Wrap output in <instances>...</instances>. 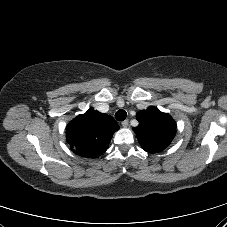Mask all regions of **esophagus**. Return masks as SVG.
I'll use <instances>...</instances> for the list:
<instances>
[{
	"label": "esophagus",
	"mask_w": 227,
	"mask_h": 227,
	"mask_svg": "<svg viewBox=\"0 0 227 227\" xmlns=\"http://www.w3.org/2000/svg\"><path fill=\"white\" fill-rule=\"evenodd\" d=\"M123 127H127L129 125V121L128 120H124L121 122Z\"/></svg>",
	"instance_id": "34e87169"
}]
</instances>
